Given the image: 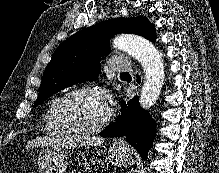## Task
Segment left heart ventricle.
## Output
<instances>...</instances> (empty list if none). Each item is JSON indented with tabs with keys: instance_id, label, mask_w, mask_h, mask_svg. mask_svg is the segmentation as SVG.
Returning <instances> with one entry per match:
<instances>
[{
	"instance_id": "obj_1",
	"label": "left heart ventricle",
	"mask_w": 219,
	"mask_h": 173,
	"mask_svg": "<svg viewBox=\"0 0 219 173\" xmlns=\"http://www.w3.org/2000/svg\"><path fill=\"white\" fill-rule=\"evenodd\" d=\"M107 105L102 97L84 93L72 97L65 107V118L74 128L87 129L99 124L107 114Z\"/></svg>"
}]
</instances>
